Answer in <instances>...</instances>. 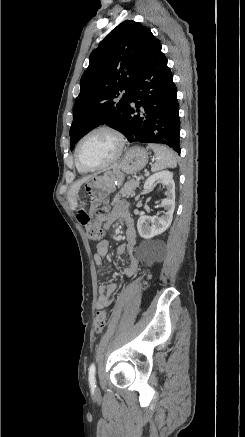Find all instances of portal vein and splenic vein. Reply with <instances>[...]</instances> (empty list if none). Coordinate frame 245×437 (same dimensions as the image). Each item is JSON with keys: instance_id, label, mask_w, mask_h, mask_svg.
<instances>
[{"instance_id": "portal-vein-and-splenic-vein-1", "label": "portal vein and splenic vein", "mask_w": 245, "mask_h": 437, "mask_svg": "<svg viewBox=\"0 0 245 437\" xmlns=\"http://www.w3.org/2000/svg\"><path fill=\"white\" fill-rule=\"evenodd\" d=\"M140 179H141V177H140V176H138V177H137V180H140Z\"/></svg>"}]
</instances>
